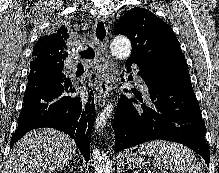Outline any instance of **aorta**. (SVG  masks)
<instances>
[{
  "mask_svg": "<svg viewBox=\"0 0 219 173\" xmlns=\"http://www.w3.org/2000/svg\"><path fill=\"white\" fill-rule=\"evenodd\" d=\"M111 53L117 59H127L131 54V42L125 36H117L111 43ZM114 105L108 104L102 112L97 116L94 123L95 132H99L107 123L109 117L113 113ZM91 162L95 173H114V168L111 160L100 149L95 148L91 153Z\"/></svg>",
  "mask_w": 219,
  "mask_h": 173,
  "instance_id": "1",
  "label": "aorta"
}]
</instances>
